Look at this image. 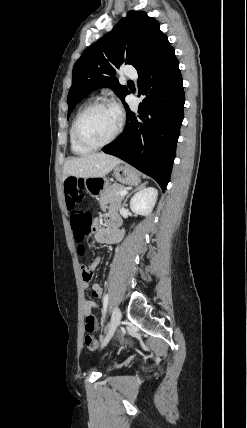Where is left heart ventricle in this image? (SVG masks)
I'll return each instance as SVG.
<instances>
[{
  "instance_id": "1",
  "label": "left heart ventricle",
  "mask_w": 247,
  "mask_h": 428,
  "mask_svg": "<svg viewBox=\"0 0 247 428\" xmlns=\"http://www.w3.org/2000/svg\"><path fill=\"white\" fill-rule=\"evenodd\" d=\"M117 125V115L111 108H96L87 113L81 121L80 132L91 143L107 140Z\"/></svg>"
}]
</instances>
